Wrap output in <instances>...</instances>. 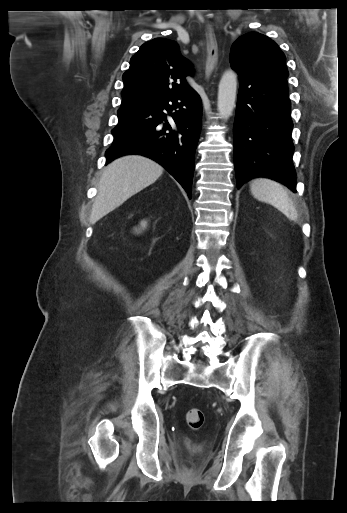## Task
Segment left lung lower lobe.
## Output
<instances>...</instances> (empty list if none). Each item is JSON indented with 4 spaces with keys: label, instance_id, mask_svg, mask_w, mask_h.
I'll list each match as a JSON object with an SVG mask.
<instances>
[{
    "label": "left lung lower lobe",
    "instance_id": "obj_1",
    "mask_svg": "<svg viewBox=\"0 0 347 513\" xmlns=\"http://www.w3.org/2000/svg\"><path fill=\"white\" fill-rule=\"evenodd\" d=\"M238 75L240 88L233 127L237 187L262 176L296 192L287 80Z\"/></svg>",
    "mask_w": 347,
    "mask_h": 513
}]
</instances>
